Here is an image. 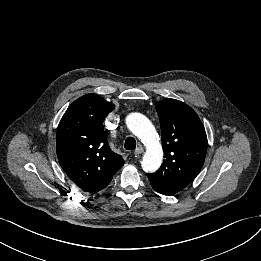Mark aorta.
<instances>
[{"label": "aorta", "mask_w": 261, "mask_h": 261, "mask_svg": "<svg viewBox=\"0 0 261 261\" xmlns=\"http://www.w3.org/2000/svg\"><path fill=\"white\" fill-rule=\"evenodd\" d=\"M129 130L146 146L142 168L153 173L159 169L163 161V150L156 130L150 120L140 113H131L126 118Z\"/></svg>", "instance_id": "aorta-1"}]
</instances>
